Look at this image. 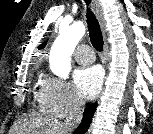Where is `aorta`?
Masks as SVG:
<instances>
[{"mask_svg":"<svg viewBox=\"0 0 153 134\" xmlns=\"http://www.w3.org/2000/svg\"><path fill=\"white\" fill-rule=\"evenodd\" d=\"M84 34L85 26L82 22H75L60 31L49 57L50 68L58 77L64 80L69 77L71 55Z\"/></svg>","mask_w":153,"mask_h":134,"instance_id":"aorta-1","label":"aorta"}]
</instances>
